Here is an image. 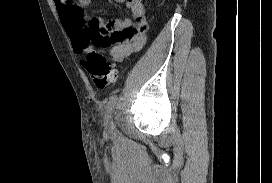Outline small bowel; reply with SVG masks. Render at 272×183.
<instances>
[{"mask_svg": "<svg viewBox=\"0 0 272 183\" xmlns=\"http://www.w3.org/2000/svg\"><path fill=\"white\" fill-rule=\"evenodd\" d=\"M115 1L124 3L132 17L106 22L101 17L87 16L91 0H54L75 52L85 54L96 47L108 48L111 58L120 62L143 48L147 32L143 0Z\"/></svg>", "mask_w": 272, "mask_h": 183, "instance_id": "obj_1", "label": "small bowel"}]
</instances>
